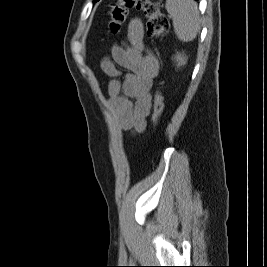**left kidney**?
Masks as SVG:
<instances>
[{
    "label": "left kidney",
    "instance_id": "1",
    "mask_svg": "<svg viewBox=\"0 0 267 267\" xmlns=\"http://www.w3.org/2000/svg\"><path fill=\"white\" fill-rule=\"evenodd\" d=\"M174 61L176 62L177 67H181L187 63V57L184 53H177L174 56Z\"/></svg>",
    "mask_w": 267,
    "mask_h": 267
}]
</instances>
